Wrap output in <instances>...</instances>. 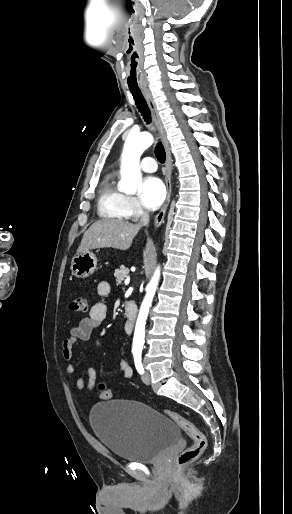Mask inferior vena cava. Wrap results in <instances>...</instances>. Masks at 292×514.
<instances>
[{"mask_svg":"<svg viewBox=\"0 0 292 514\" xmlns=\"http://www.w3.org/2000/svg\"><path fill=\"white\" fill-rule=\"evenodd\" d=\"M140 224H142V226H144V224H149V214H148V212H143L142 218L140 220Z\"/></svg>","mask_w":292,"mask_h":514,"instance_id":"inferior-vena-cava-1","label":"inferior vena cava"}]
</instances>
